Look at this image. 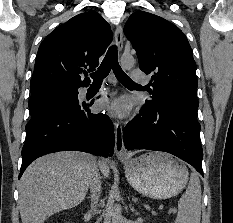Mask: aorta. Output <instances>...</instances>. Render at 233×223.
I'll return each instance as SVG.
<instances>
[{
  "label": "aorta",
  "instance_id": "obj_1",
  "mask_svg": "<svg viewBox=\"0 0 233 223\" xmlns=\"http://www.w3.org/2000/svg\"><path fill=\"white\" fill-rule=\"evenodd\" d=\"M135 64L133 56H122L121 58V68L123 70H131ZM116 211H113L112 215H115Z\"/></svg>",
  "mask_w": 233,
  "mask_h": 223
}]
</instances>
